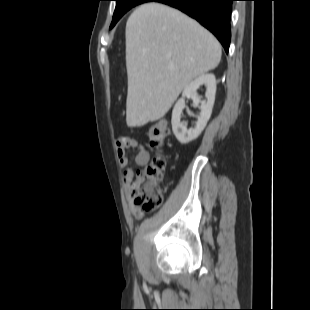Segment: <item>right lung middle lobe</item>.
<instances>
[{
    "instance_id": "right-lung-middle-lobe-1",
    "label": "right lung middle lobe",
    "mask_w": 310,
    "mask_h": 310,
    "mask_svg": "<svg viewBox=\"0 0 310 310\" xmlns=\"http://www.w3.org/2000/svg\"><path fill=\"white\" fill-rule=\"evenodd\" d=\"M116 8L114 11L113 19L110 28H112L117 21L131 8L144 2L151 0H116Z\"/></svg>"
}]
</instances>
